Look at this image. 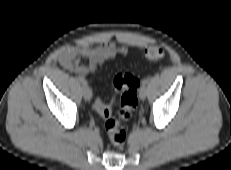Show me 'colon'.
<instances>
[{"label":"colon","mask_w":231,"mask_h":170,"mask_svg":"<svg viewBox=\"0 0 231 170\" xmlns=\"http://www.w3.org/2000/svg\"><path fill=\"white\" fill-rule=\"evenodd\" d=\"M145 57L150 61H158L164 56V51L159 45H151L145 49ZM101 64H97L96 72L101 70ZM139 81L131 74H117L113 79V87L116 92H121V108L117 117L112 116L111 106L103 104L100 98L96 97L93 102L94 109L103 116L105 128L111 143L117 147L122 146L127 138V133L120 124V120H128L138 104Z\"/></svg>","instance_id":"1"}]
</instances>
